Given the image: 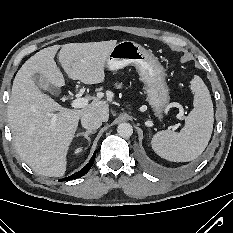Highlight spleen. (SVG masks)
I'll list each match as a JSON object with an SVG mask.
<instances>
[{
  "label": "spleen",
  "instance_id": "1",
  "mask_svg": "<svg viewBox=\"0 0 233 233\" xmlns=\"http://www.w3.org/2000/svg\"><path fill=\"white\" fill-rule=\"evenodd\" d=\"M190 88L194 92V108L187 116L185 126L179 132L160 131L151 141L154 152L169 161L187 162L196 159L211 138L214 111L209 90L199 76H194Z\"/></svg>",
  "mask_w": 233,
  "mask_h": 233
}]
</instances>
